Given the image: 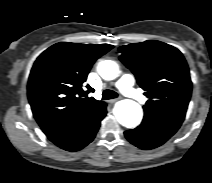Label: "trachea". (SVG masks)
Masks as SVG:
<instances>
[{"label":"trachea","instance_id":"trachea-1","mask_svg":"<svg viewBox=\"0 0 212 183\" xmlns=\"http://www.w3.org/2000/svg\"><path fill=\"white\" fill-rule=\"evenodd\" d=\"M117 97H118V94L113 90L106 89L102 93V100H109V99H114Z\"/></svg>","mask_w":212,"mask_h":183}]
</instances>
